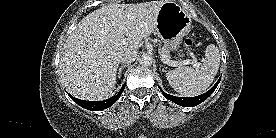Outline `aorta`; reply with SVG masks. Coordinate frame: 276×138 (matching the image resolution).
<instances>
[{
  "instance_id": "1",
  "label": "aorta",
  "mask_w": 276,
  "mask_h": 138,
  "mask_svg": "<svg viewBox=\"0 0 276 138\" xmlns=\"http://www.w3.org/2000/svg\"><path fill=\"white\" fill-rule=\"evenodd\" d=\"M153 62V58L150 54L148 53H143L141 54V56L139 57V63L142 66H150L152 65Z\"/></svg>"
}]
</instances>
